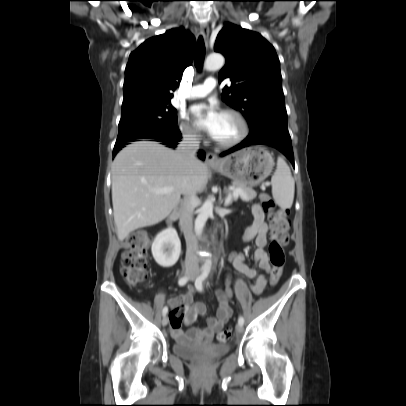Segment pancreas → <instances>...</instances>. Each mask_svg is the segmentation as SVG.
I'll return each mask as SVG.
<instances>
[{
	"label": "pancreas",
	"mask_w": 406,
	"mask_h": 406,
	"mask_svg": "<svg viewBox=\"0 0 406 406\" xmlns=\"http://www.w3.org/2000/svg\"><path fill=\"white\" fill-rule=\"evenodd\" d=\"M234 186H235V189H241L246 194V197L240 196L241 199L245 202L251 201L257 196V194L254 190H252L244 185L234 183Z\"/></svg>",
	"instance_id": "cf45deb5"
}]
</instances>
